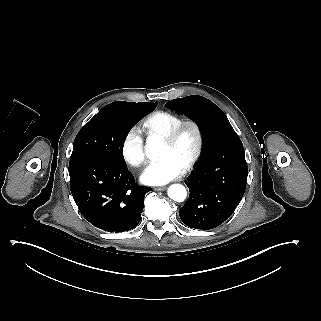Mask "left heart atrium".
Masks as SVG:
<instances>
[{
	"label": "left heart atrium",
	"mask_w": 321,
	"mask_h": 321,
	"mask_svg": "<svg viewBox=\"0 0 321 321\" xmlns=\"http://www.w3.org/2000/svg\"><path fill=\"white\" fill-rule=\"evenodd\" d=\"M184 168L174 155H167L157 162L148 164L141 174V181L147 185H165L180 177Z\"/></svg>",
	"instance_id": "obj_1"
}]
</instances>
